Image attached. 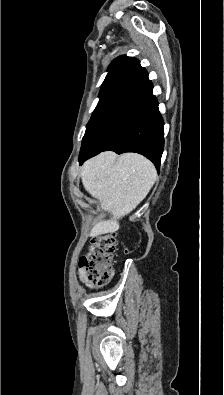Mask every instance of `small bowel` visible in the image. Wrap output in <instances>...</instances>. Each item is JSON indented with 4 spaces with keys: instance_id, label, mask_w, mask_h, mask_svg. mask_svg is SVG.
Listing matches in <instances>:
<instances>
[{
    "instance_id": "small-bowel-1",
    "label": "small bowel",
    "mask_w": 224,
    "mask_h": 395,
    "mask_svg": "<svg viewBox=\"0 0 224 395\" xmlns=\"http://www.w3.org/2000/svg\"><path fill=\"white\" fill-rule=\"evenodd\" d=\"M77 276H78L80 282L89 288H96V287L103 286V284H98V283H95L92 280H90L82 267L78 268Z\"/></svg>"
}]
</instances>
